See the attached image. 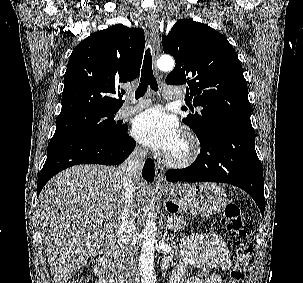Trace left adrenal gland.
Segmentation results:
<instances>
[{"instance_id":"obj_1","label":"left adrenal gland","mask_w":303,"mask_h":283,"mask_svg":"<svg viewBox=\"0 0 303 283\" xmlns=\"http://www.w3.org/2000/svg\"><path fill=\"white\" fill-rule=\"evenodd\" d=\"M167 234V229H166V231H165V235Z\"/></svg>"}]
</instances>
